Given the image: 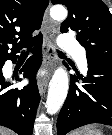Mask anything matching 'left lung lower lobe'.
<instances>
[{
    "mask_svg": "<svg viewBox=\"0 0 112 135\" xmlns=\"http://www.w3.org/2000/svg\"><path fill=\"white\" fill-rule=\"evenodd\" d=\"M69 93L57 119V134L66 135L81 126H112V63L88 62L87 77L71 76ZM82 80L83 85L75 82Z\"/></svg>",
    "mask_w": 112,
    "mask_h": 135,
    "instance_id": "left-lung-lower-lobe-1",
    "label": "left lung lower lobe"
}]
</instances>
